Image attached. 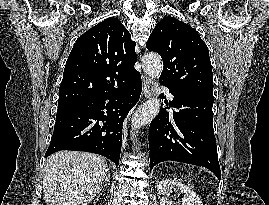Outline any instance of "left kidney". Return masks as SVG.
Masks as SVG:
<instances>
[{"mask_svg":"<svg viewBox=\"0 0 269 205\" xmlns=\"http://www.w3.org/2000/svg\"><path fill=\"white\" fill-rule=\"evenodd\" d=\"M157 192L160 205H172L169 196L173 192L184 193L183 198L178 202V205H203L198 195L189 186L176 180H162L157 187Z\"/></svg>","mask_w":269,"mask_h":205,"instance_id":"left-kidney-1","label":"left kidney"}]
</instances>
